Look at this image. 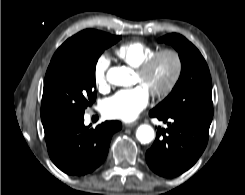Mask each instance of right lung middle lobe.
<instances>
[{"mask_svg": "<svg viewBox=\"0 0 245 195\" xmlns=\"http://www.w3.org/2000/svg\"><path fill=\"white\" fill-rule=\"evenodd\" d=\"M120 39L88 29L66 40L53 55L45 75L41 116L55 123L84 116L96 98L98 58Z\"/></svg>", "mask_w": 245, "mask_h": 195, "instance_id": "1", "label": "right lung middle lobe"}]
</instances>
